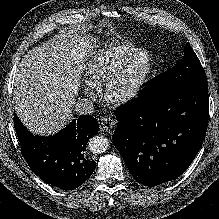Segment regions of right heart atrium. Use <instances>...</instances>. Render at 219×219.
Instances as JSON below:
<instances>
[{
  "instance_id": "1",
  "label": "right heart atrium",
  "mask_w": 219,
  "mask_h": 219,
  "mask_svg": "<svg viewBox=\"0 0 219 219\" xmlns=\"http://www.w3.org/2000/svg\"><path fill=\"white\" fill-rule=\"evenodd\" d=\"M84 94L86 95V96H88V97H93V92H92V90L91 89H85L84 90Z\"/></svg>"
}]
</instances>
